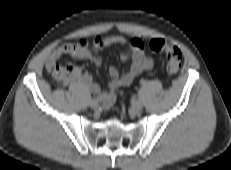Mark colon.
<instances>
[{
    "label": "colon",
    "instance_id": "1",
    "mask_svg": "<svg viewBox=\"0 0 231 170\" xmlns=\"http://www.w3.org/2000/svg\"><path fill=\"white\" fill-rule=\"evenodd\" d=\"M149 48L154 53H164L166 56L167 72L176 75L181 68V51L175 46L160 38H154L149 42ZM49 72L58 85L67 84L72 78L78 76L82 70L73 65L55 64Z\"/></svg>",
    "mask_w": 231,
    "mask_h": 170
}]
</instances>
